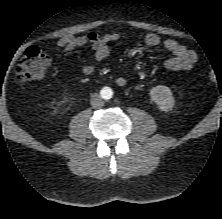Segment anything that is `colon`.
Returning a JSON list of instances; mask_svg holds the SVG:
<instances>
[{
  "label": "colon",
  "instance_id": "obj_1",
  "mask_svg": "<svg viewBox=\"0 0 222 219\" xmlns=\"http://www.w3.org/2000/svg\"><path fill=\"white\" fill-rule=\"evenodd\" d=\"M50 65L49 56L37 47L28 48L15 69V79L20 85L42 79ZM208 78L215 82L216 74L212 69L208 70Z\"/></svg>",
  "mask_w": 222,
  "mask_h": 219
}]
</instances>
